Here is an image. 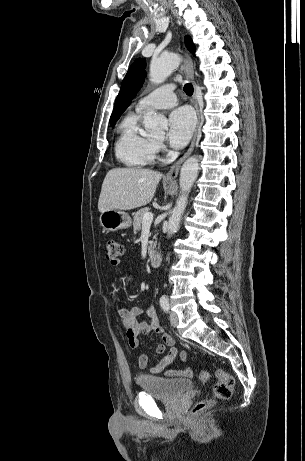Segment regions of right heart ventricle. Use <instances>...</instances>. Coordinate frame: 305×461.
<instances>
[{"instance_id": "obj_1", "label": "right heart ventricle", "mask_w": 305, "mask_h": 461, "mask_svg": "<svg viewBox=\"0 0 305 461\" xmlns=\"http://www.w3.org/2000/svg\"><path fill=\"white\" fill-rule=\"evenodd\" d=\"M140 112L127 114L119 125L115 144L117 158L126 166L141 168L155 159V142L143 131L139 123Z\"/></svg>"}]
</instances>
